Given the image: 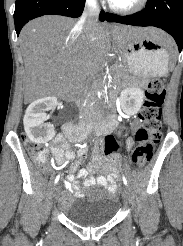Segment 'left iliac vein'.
<instances>
[{
	"label": "left iliac vein",
	"instance_id": "left-iliac-vein-1",
	"mask_svg": "<svg viewBox=\"0 0 183 246\" xmlns=\"http://www.w3.org/2000/svg\"><path fill=\"white\" fill-rule=\"evenodd\" d=\"M121 193H122V198H123L124 203L128 204L129 200H130V194H129L128 188L127 187H123Z\"/></svg>",
	"mask_w": 183,
	"mask_h": 246
}]
</instances>
